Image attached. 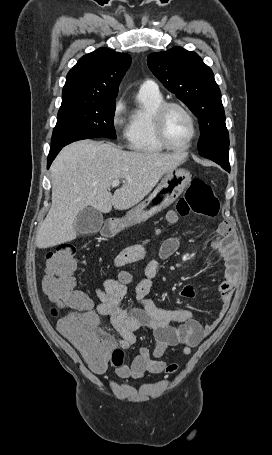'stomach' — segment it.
Listing matches in <instances>:
<instances>
[{
	"label": "stomach",
	"mask_w": 272,
	"mask_h": 455,
	"mask_svg": "<svg viewBox=\"0 0 272 455\" xmlns=\"http://www.w3.org/2000/svg\"><path fill=\"white\" fill-rule=\"evenodd\" d=\"M190 181V172L183 168L168 171L147 199L130 210L124 218L112 221V229L115 232H120L154 216L171 205L189 185Z\"/></svg>",
	"instance_id": "0dacf381"
}]
</instances>
